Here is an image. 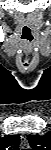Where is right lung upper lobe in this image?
<instances>
[{
    "label": "right lung upper lobe",
    "instance_id": "right-lung-upper-lobe-1",
    "mask_svg": "<svg viewBox=\"0 0 51 150\" xmlns=\"http://www.w3.org/2000/svg\"><path fill=\"white\" fill-rule=\"evenodd\" d=\"M18 135H9L4 138H0V149L1 150H18L19 149Z\"/></svg>",
    "mask_w": 51,
    "mask_h": 150
}]
</instances>
